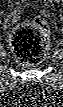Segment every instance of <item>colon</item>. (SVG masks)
Instances as JSON below:
<instances>
[{
	"instance_id": "1",
	"label": "colon",
	"mask_w": 63,
	"mask_h": 107,
	"mask_svg": "<svg viewBox=\"0 0 63 107\" xmlns=\"http://www.w3.org/2000/svg\"><path fill=\"white\" fill-rule=\"evenodd\" d=\"M48 45V28L46 22L41 18L17 27L11 36L14 55L25 65L40 63L46 55Z\"/></svg>"
}]
</instances>
